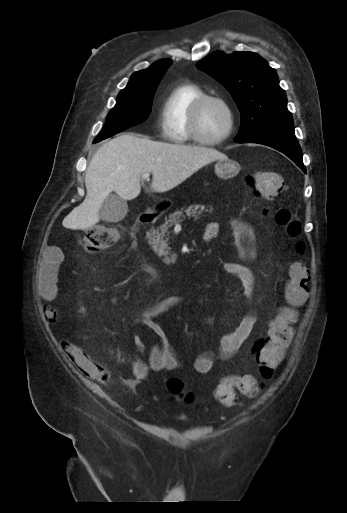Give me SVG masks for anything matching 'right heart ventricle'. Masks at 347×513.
Listing matches in <instances>:
<instances>
[{"label": "right heart ventricle", "instance_id": "e07e8e85", "mask_svg": "<svg viewBox=\"0 0 347 513\" xmlns=\"http://www.w3.org/2000/svg\"><path fill=\"white\" fill-rule=\"evenodd\" d=\"M204 90L190 81L175 84L163 100L161 132L165 139L175 144H189L193 140L188 129L189 112Z\"/></svg>", "mask_w": 347, "mask_h": 513}]
</instances>
